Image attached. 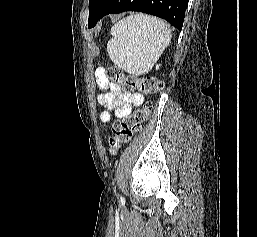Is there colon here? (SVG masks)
Here are the masks:
<instances>
[{
  "mask_svg": "<svg viewBox=\"0 0 257 237\" xmlns=\"http://www.w3.org/2000/svg\"><path fill=\"white\" fill-rule=\"evenodd\" d=\"M107 76L114 85L126 92L138 91L146 95H155L163 88V83L157 77L127 75L116 66L107 69ZM151 110V103H146L133 114L113 124V134L108 139L109 151L112 155L117 154L121 146L141 130Z\"/></svg>",
  "mask_w": 257,
  "mask_h": 237,
  "instance_id": "1",
  "label": "colon"
}]
</instances>
